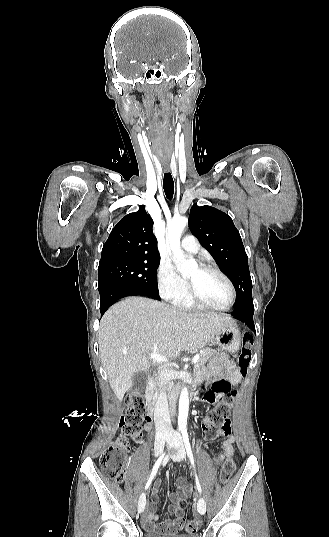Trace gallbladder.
<instances>
[{"label":"gallbladder","instance_id":"1","mask_svg":"<svg viewBox=\"0 0 329 537\" xmlns=\"http://www.w3.org/2000/svg\"><path fill=\"white\" fill-rule=\"evenodd\" d=\"M147 385V372L138 371L133 377V383L130 392H143Z\"/></svg>","mask_w":329,"mask_h":537}]
</instances>
